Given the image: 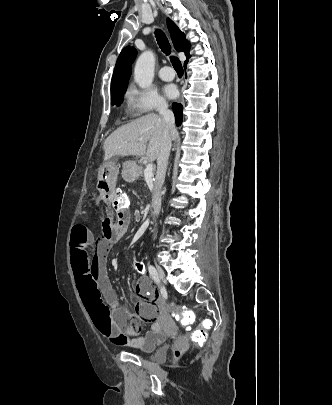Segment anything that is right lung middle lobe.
I'll return each mask as SVG.
<instances>
[{
	"label": "right lung middle lobe",
	"mask_w": 332,
	"mask_h": 405,
	"mask_svg": "<svg viewBox=\"0 0 332 405\" xmlns=\"http://www.w3.org/2000/svg\"><path fill=\"white\" fill-rule=\"evenodd\" d=\"M127 81L118 84L117 86L111 88V102L112 105H117L119 106L122 101V97L125 93L126 87H127Z\"/></svg>",
	"instance_id": "1"
}]
</instances>
